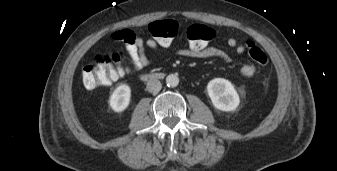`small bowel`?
Returning a JSON list of instances; mask_svg holds the SVG:
<instances>
[{"label": "small bowel", "mask_w": 337, "mask_h": 171, "mask_svg": "<svg viewBox=\"0 0 337 171\" xmlns=\"http://www.w3.org/2000/svg\"><path fill=\"white\" fill-rule=\"evenodd\" d=\"M113 38L116 40H122L125 43V48L128 56L132 62V69L134 71H140L144 67L150 65L161 46L158 41L154 39L143 40L128 30L117 31L113 34ZM227 45L234 49L235 55L243 54L245 51L244 46L238 45L237 40L234 37L227 39ZM146 48L153 51V55H148ZM181 56L196 58V59H220L229 60L230 55L224 50L217 47H204L199 52H194L190 48L181 49L178 51ZM256 73V67L252 63L245 64L241 68V75L246 78L254 76Z\"/></svg>", "instance_id": "small-bowel-1"}]
</instances>
